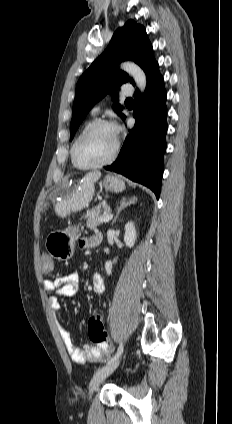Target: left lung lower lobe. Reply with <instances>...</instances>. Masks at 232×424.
Returning <instances> with one entry per match:
<instances>
[{
	"label": "left lung lower lobe",
	"mask_w": 232,
	"mask_h": 424,
	"mask_svg": "<svg viewBox=\"0 0 232 424\" xmlns=\"http://www.w3.org/2000/svg\"><path fill=\"white\" fill-rule=\"evenodd\" d=\"M166 90L158 63L147 76L144 95L135 92V126L124 141L118 159L107 170L150 188L159 199L167 133ZM125 116L123 117V119Z\"/></svg>",
	"instance_id": "obj_1"
}]
</instances>
